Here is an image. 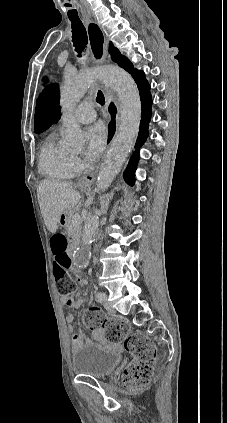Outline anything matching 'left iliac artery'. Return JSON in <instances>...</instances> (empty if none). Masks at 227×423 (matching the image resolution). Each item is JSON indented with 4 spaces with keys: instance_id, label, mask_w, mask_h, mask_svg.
<instances>
[{
    "instance_id": "obj_1",
    "label": "left iliac artery",
    "mask_w": 227,
    "mask_h": 423,
    "mask_svg": "<svg viewBox=\"0 0 227 423\" xmlns=\"http://www.w3.org/2000/svg\"><path fill=\"white\" fill-rule=\"evenodd\" d=\"M96 299H97V301H98V302H103V300H104V296H103L101 293H98V294L96 295Z\"/></svg>"
}]
</instances>
